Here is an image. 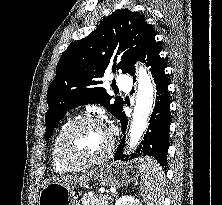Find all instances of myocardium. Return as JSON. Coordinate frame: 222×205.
<instances>
[{"label":"myocardium","mask_w":222,"mask_h":205,"mask_svg":"<svg viewBox=\"0 0 222 205\" xmlns=\"http://www.w3.org/2000/svg\"><path fill=\"white\" fill-rule=\"evenodd\" d=\"M85 124H98L104 127L108 134V144L105 150L100 155L91 159L84 160V159H78V158L72 157L70 155V153L68 152L66 148V141L69 135L75 129ZM113 149H114V138H113L112 133L100 119L91 117V116L79 117L73 120L72 122H70V124L62 132L59 139V144H58L59 156L62 162L68 166L75 167V168H84V167H90V166L100 164L109 158V156L112 154Z\"/></svg>","instance_id":"f54148a6"}]
</instances>
